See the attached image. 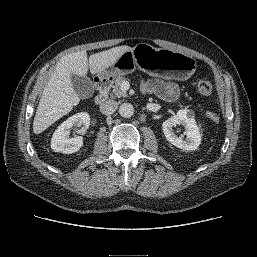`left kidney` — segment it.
<instances>
[{
	"instance_id": "left-kidney-1",
	"label": "left kidney",
	"mask_w": 257,
	"mask_h": 257,
	"mask_svg": "<svg viewBox=\"0 0 257 257\" xmlns=\"http://www.w3.org/2000/svg\"><path fill=\"white\" fill-rule=\"evenodd\" d=\"M176 125H182L184 127L185 139L175 134L173 127ZM162 129L166 139L170 143L185 151H194L201 143L199 128L194 119L193 112L190 110H179L176 115L163 122Z\"/></svg>"
}]
</instances>
